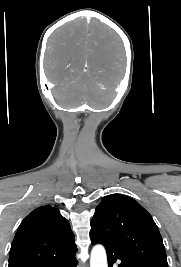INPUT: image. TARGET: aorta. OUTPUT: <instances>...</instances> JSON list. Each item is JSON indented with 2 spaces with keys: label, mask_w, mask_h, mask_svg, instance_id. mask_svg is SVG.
<instances>
[{
  "label": "aorta",
  "mask_w": 181,
  "mask_h": 267,
  "mask_svg": "<svg viewBox=\"0 0 181 267\" xmlns=\"http://www.w3.org/2000/svg\"><path fill=\"white\" fill-rule=\"evenodd\" d=\"M90 267H108L107 255L102 245H95L91 251Z\"/></svg>",
  "instance_id": "1"
}]
</instances>
